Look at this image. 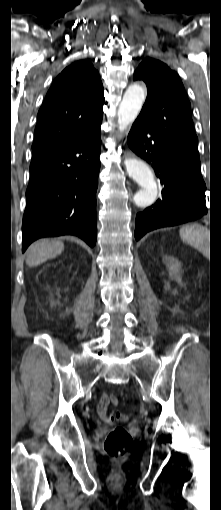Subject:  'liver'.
<instances>
[{
	"mask_svg": "<svg viewBox=\"0 0 221 510\" xmlns=\"http://www.w3.org/2000/svg\"><path fill=\"white\" fill-rule=\"evenodd\" d=\"M64 250V244L60 240H40L33 243L27 254L26 264L29 267L38 266L49 259L60 255Z\"/></svg>",
	"mask_w": 221,
	"mask_h": 510,
	"instance_id": "liver-1",
	"label": "liver"
}]
</instances>
